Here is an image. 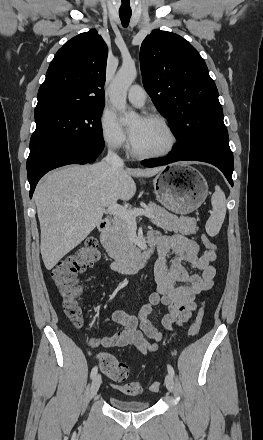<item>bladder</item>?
Instances as JSON below:
<instances>
[{"mask_svg": "<svg viewBox=\"0 0 263 440\" xmlns=\"http://www.w3.org/2000/svg\"><path fill=\"white\" fill-rule=\"evenodd\" d=\"M111 404L123 411H143L150 408V403L141 399H126L117 396L110 397Z\"/></svg>", "mask_w": 263, "mask_h": 440, "instance_id": "obj_1", "label": "bladder"}]
</instances>
